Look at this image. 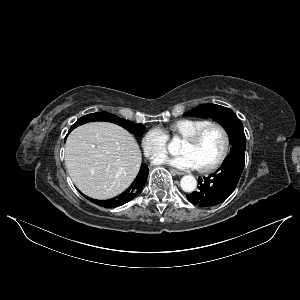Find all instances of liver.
Instances as JSON below:
<instances>
[{"instance_id":"liver-1","label":"liver","mask_w":300,"mask_h":300,"mask_svg":"<svg viewBox=\"0 0 300 300\" xmlns=\"http://www.w3.org/2000/svg\"><path fill=\"white\" fill-rule=\"evenodd\" d=\"M141 151L133 136L109 122L74 129L65 145V165L76 187L99 200L122 193L137 176Z\"/></svg>"}]
</instances>
